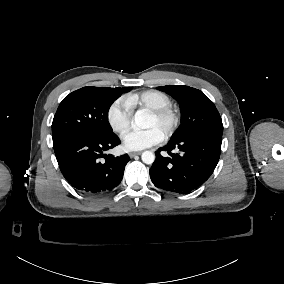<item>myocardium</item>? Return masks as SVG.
<instances>
[{"mask_svg": "<svg viewBox=\"0 0 284 284\" xmlns=\"http://www.w3.org/2000/svg\"><path fill=\"white\" fill-rule=\"evenodd\" d=\"M151 115L156 119L164 121L166 124L165 131L162 134L163 139H169L175 132L178 126V115L172 107H163L159 109L151 110Z\"/></svg>", "mask_w": 284, "mask_h": 284, "instance_id": "myocardium-1", "label": "myocardium"}]
</instances>
